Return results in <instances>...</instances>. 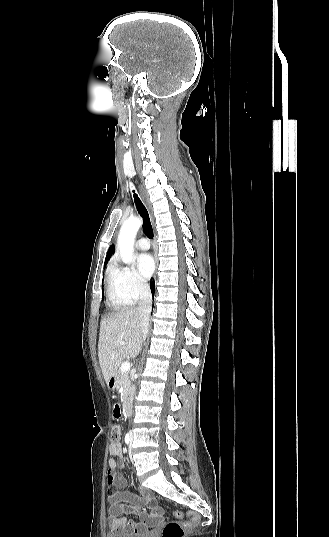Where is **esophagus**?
Returning a JSON list of instances; mask_svg holds the SVG:
<instances>
[{
    "label": "esophagus",
    "mask_w": 329,
    "mask_h": 537,
    "mask_svg": "<svg viewBox=\"0 0 329 537\" xmlns=\"http://www.w3.org/2000/svg\"><path fill=\"white\" fill-rule=\"evenodd\" d=\"M140 194H141V197H142V200L148 210V213H149V216H150V220H151V224L153 227H155V219H154V215H153V208H152V204H151V201L149 199V196L147 194V192L145 191V189L143 188V186L141 185L140 186ZM155 266L157 267L158 266V260H157V257L155 256Z\"/></svg>",
    "instance_id": "34e87169"
}]
</instances>
